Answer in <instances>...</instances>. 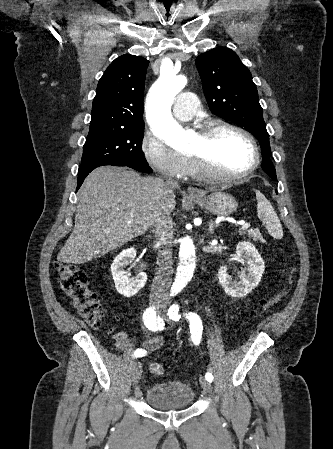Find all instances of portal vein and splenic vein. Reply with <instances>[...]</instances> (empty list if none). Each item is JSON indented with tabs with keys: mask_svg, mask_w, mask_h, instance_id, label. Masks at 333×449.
I'll return each instance as SVG.
<instances>
[{
	"mask_svg": "<svg viewBox=\"0 0 333 449\" xmlns=\"http://www.w3.org/2000/svg\"><path fill=\"white\" fill-rule=\"evenodd\" d=\"M250 227L249 223H243L242 224V229H248Z\"/></svg>",
	"mask_w": 333,
	"mask_h": 449,
	"instance_id": "obj_1",
	"label": "portal vein and splenic vein"
}]
</instances>
